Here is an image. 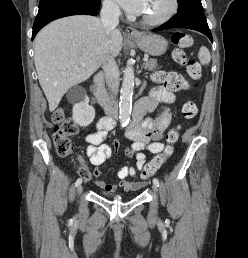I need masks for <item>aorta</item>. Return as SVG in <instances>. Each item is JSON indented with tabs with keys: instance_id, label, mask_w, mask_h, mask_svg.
Here are the masks:
<instances>
[{
	"instance_id": "762f6f07",
	"label": "aorta",
	"mask_w": 248,
	"mask_h": 258,
	"mask_svg": "<svg viewBox=\"0 0 248 258\" xmlns=\"http://www.w3.org/2000/svg\"><path fill=\"white\" fill-rule=\"evenodd\" d=\"M123 73L119 102V119L120 124L125 127L129 123L132 109V96L134 90V69L132 65L128 64Z\"/></svg>"
}]
</instances>
